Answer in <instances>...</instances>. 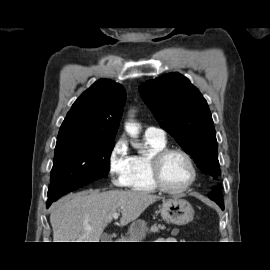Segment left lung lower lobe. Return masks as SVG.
I'll list each match as a JSON object with an SVG mask.
<instances>
[{
  "mask_svg": "<svg viewBox=\"0 0 270 270\" xmlns=\"http://www.w3.org/2000/svg\"><path fill=\"white\" fill-rule=\"evenodd\" d=\"M209 197L215 201L220 207L222 210H224V201H223V198H222V194H221V191L220 189H216L212 192V194L209 195Z\"/></svg>",
  "mask_w": 270,
  "mask_h": 270,
  "instance_id": "left-lung-lower-lobe-1",
  "label": "left lung lower lobe"
}]
</instances>
